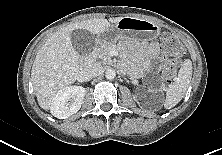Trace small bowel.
Masks as SVG:
<instances>
[{
    "instance_id": "obj_1",
    "label": "small bowel",
    "mask_w": 222,
    "mask_h": 155,
    "mask_svg": "<svg viewBox=\"0 0 222 155\" xmlns=\"http://www.w3.org/2000/svg\"><path fill=\"white\" fill-rule=\"evenodd\" d=\"M148 59H147V64L150 67L156 68L158 65V45L156 43H151L148 48Z\"/></svg>"
}]
</instances>
